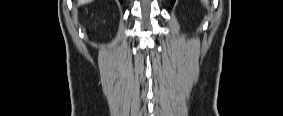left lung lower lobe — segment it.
I'll use <instances>...</instances> for the list:
<instances>
[{"instance_id": "left-lung-lower-lobe-1", "label": "left lung lower lobe", "mask_w": 283, "mask_h": 116, "mask_svg": "<svg viewBox=\"0 0 283 116\" xmlns=\"http://www.w3.org/2000/svg\"><path fill=\"white\" fill-rule=\"evenodd\" d=\"M175 0H171L172 5L174 4Z\"/></svg>"}]
</instances>
